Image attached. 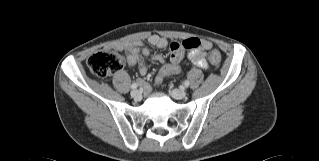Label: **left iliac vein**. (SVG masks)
<instances>
[{"instance_id": "left-iliac-vein-1", "label": "left iliac vein", "mask_w": 319, "mask_h": 161, "mask_svg": "<svg viewBox=\"0 0 319 161\" xmlns=\"http://www.w3.org/2000/svg\"><path fill=\"white\" fill-rule=\"evenodd\" d=\"M171 95L173 98L180 100L186 97L187 93L185 90L174 89L171 91Z\"/></svg>"}]
</instances>
